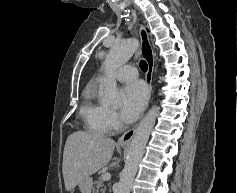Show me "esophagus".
<instances>
[{
	"mask_svg": "<svg viewBox=\"0 0 237 193\" xmlns=\"http://www.w3.org/2000/svg\"><path fill=\"white\" fill-rule=\"evenodd\" d=\"M139 36H140V40H141V52H142L143 56L145 57L147 66H148V70L146 73V83L149 88V96H150L152 93V78H153V73H154L155 54H154L153 48L150 43L149 34L147 32L146 27L143 24L140 25ZM136 127L137 126L124 132L121 135V137L118 139V144L119 145L129 144L135 131H136Z\"/></svg>",
	"mask_w": 237,
	"mask_h": 193,
	"instance_id": "obj_1",
	"label": "esophagus"
}]
</instances>
